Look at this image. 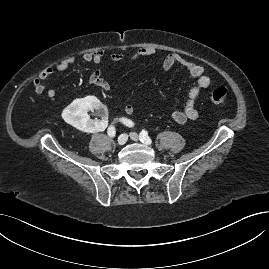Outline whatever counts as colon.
<instances>
[{"label":"colon","instance_id":"1","mask_svg":"<svg viewBox=\"0 0 269 269\" xmlns=\"http://www.w3.org/2000/svg\"><path fill=\"white\" fill-rule=\"evenodd\" d=\"M228 99V90L225 87L216 88L210 95V101L216 105L224 104Z\"/></svg>","mask_w":269,"mask_h":269}]
</instances>
